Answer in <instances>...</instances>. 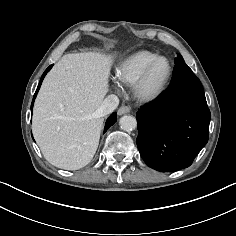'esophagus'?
I'll return each mask as SVG.
<instances>
[{
	"label": "esophagus",
	"mask_w": 236,
	"mask_h": 236,
	"mask_svg": "<svg viewBox=\"0 0 236 236\" xmlns=\"http://www.w3.org/2000/svg\"><path fill=\"white\" fill-rule=\"evenodd\" d=\"M130 107L128 106H121L118 111H117V114L118 115H123V114H126V113H129L130 112Z\"/></svg>",
	"instance_id": "1"
}]
</instances>
